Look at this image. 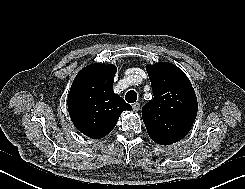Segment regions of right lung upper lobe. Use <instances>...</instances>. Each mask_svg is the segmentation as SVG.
<instances>
[{"label":"right lung upper lobe","instance_id":"cb5924a9","mask_svg":"<svg viewBox=\"0 0 245 189\" xmlns=\"http://www.w3.org/2000/svg\"><path fill=\"white\" fill-rule=\"evenodd\" d=\"M116 67L94 63L75 77L69 95L68 111L74 126L84 135L99 139L109 134L121 113L131 110L122 97L113 92Z\"/></svg>","mask_w":245,"mask_h":189}]
</instances>
